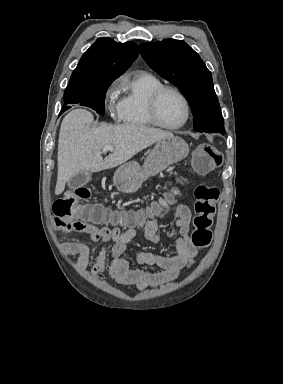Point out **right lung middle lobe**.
<instances>
[{
	"mask_svg": "<svg viewBox=\"0 0 283 384\" xmlns=\"http://www.w3.org/2000/svg\"><path fill=\"white\" fill-rule=\"evenodd\" d=\"M111 83L92 85L79 88H67L64 92V107L62 111L69 109L70 104H80L94 109L98 114L104 115L105 95Z\"/></svg>",
	"mask_w": 283,
	"mask_h": 384,
	"instance_id": "right-lung-middle-lobe-1",
	"label": "right lung middle lobe"
}]
</instances>
